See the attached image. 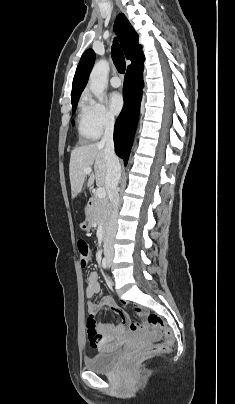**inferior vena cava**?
I'll list each match as a JSON object with an SVG mask.
<instances>
[{"label":"inferior vena cava","instance_id":"602c4592","mask_svg":"<svg viewBox=\"0 0 235 404\" xmlns=\"http://www.w3.org/2000/svg\"><path fill=\"white\" fill-rule=\"evenodd\" d=\"M114 118L108 117L105 121V131L101 144L104 145L105 158L107 162L106 189L109 201L112 205L106 235L104 238V253H114V239L117 231V217L119 206L118 184L121 177V165L114 151L113 130Z\"/></svg>","mask_w":235,"mask_h":404}]
</instances>
